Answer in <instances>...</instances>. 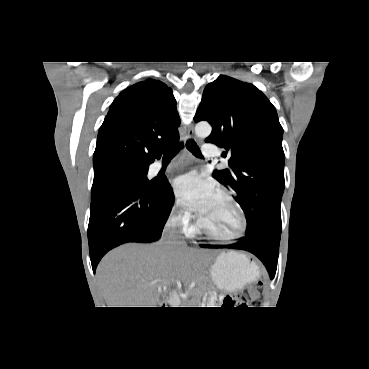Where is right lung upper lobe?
I'll return each instance as SVG.
<instances>
[{
    "label": "right lung upper lobe",
    "mask_w": 369,
    "mask_h": 369,
    "mask_svg": "<svg viewBox=\"0 0 369 369\" xmlns=\"http://www.w3.org/2000/svg\"><path fill=\"white\" fill-rule=\"evenodd\" d=\"M179 122L171 89L157 80L138 82L113 101L99 129L93 164H150L161 157L162 147L178 141Z\"/></svg>",
    "instance_id": "1"
}]
</instances>
